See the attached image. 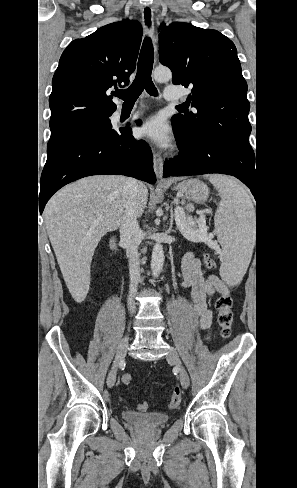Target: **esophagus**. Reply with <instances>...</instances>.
Instances as JSON below:
<instances>
[{
	"mask_svg": "<svg viewBox=\"0 0 297 488\" xmlns=\"http://www.w3.org/2000/svg\"><path fill=\"white\" fill-rule=\"evenodd\" d=\"M142 24L146 34L152 38L154 34V13L152 6L149 4L142 9ZM153 168L156 177L163 181V159L157 152L153 154Z\"/></svg>",
	"mask_w": 297,
	"mask_h": 488,
	"instance_id": "1",
	"label": "esophagus"
}]
</instances>
